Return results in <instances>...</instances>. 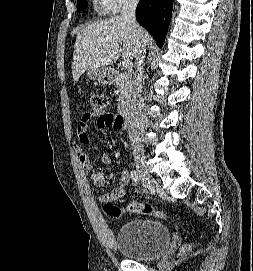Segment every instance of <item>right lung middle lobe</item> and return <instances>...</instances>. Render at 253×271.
<instances>
[{
	"label": "right lung middle lobe",
	"mask_w": 253,
	"mask_h": 271,
	"mask_svg": "<svg viewBox=\"0 0 253 271\" xmlns=\"http://www.w3.org/2000/svg\"><path fill=\"white\" fill-rule=\"evenodd\" d=\"M87 7V0H78L77 3V10L82 11L85 10Z\"/></svg>",
	"instance_id": "1"
}]
</instances>
